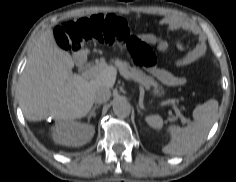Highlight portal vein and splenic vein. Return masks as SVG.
<instances>
[{
	"label": "portal vein and splenic vein",
	"mask_w": 236,
	"mask_h": 182,
	"mask_svg": "<svg viewBox=\"0 0 236 182\" xmlns=\"http://www.w3.org/2000/svg\"><path fill=\"white\" fill-rule=\"evenodd\" d=\"M105 69L104 66L102 65H94L88 69H86L83 73L82 76L86 79L93 78L97 76L99 73H101ZM172 104V102H165L164 105H169ZM173 109L178 117L181 118L183 122L186 121L185 117L180 113L179 109L173 105Z\"/></svg>",
	"instance_id": "18ae733b"
}]
</instances>
